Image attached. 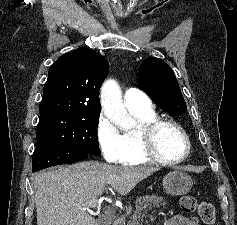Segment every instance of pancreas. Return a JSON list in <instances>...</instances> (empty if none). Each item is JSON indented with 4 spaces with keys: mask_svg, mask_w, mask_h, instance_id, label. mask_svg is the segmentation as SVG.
I'll list each match as a JSON object with an SVG mask.
<instances>
[{
    "mask_svg": "<svg viewBox=\"0 0 237 225\" xmlns=\"http://www.w3.org/2000/svg\"><path fill=\"white\" fill-rule=\"evenodd\" d=\"M166 205V202L163 200L162 197H158L155 195H147L143 197H139L136 200V205H135V211L134 214L129 218L127 221V225H138L139 224V219L144 215L142 213L143 210L149 208L151 209L152 207H157L159 208L160 206Z\"/></svg>",
    "mask_w": 237,
    "mask_h": 225,
    "instance_id": "1",
    "label": "pancreas"
}]
</instances>
